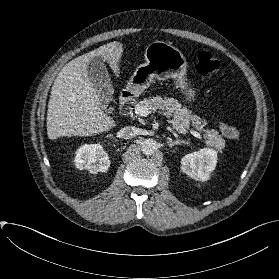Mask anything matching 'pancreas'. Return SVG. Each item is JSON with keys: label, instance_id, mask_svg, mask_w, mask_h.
<instances>
[{"label": "pancreas", "instance_id": "pancreas-1", "mask_svg": "<svg viewBox=\"0 0 279 279\" xmlns=\"http://www.w3.org/2000/svg\"><path fill=\"white\" fill-rule=\"evenodd\" d=\"M137 106L146 107L151 113L158 112L166 116L179 133H185L191 124L198 131H205L204 139L209 146H213L218 150H222L225 146V140L216 130H204L203 127L206 125V121L192 114L187 108L182 107L174 98L149 97L140 101Z\"/></svg>", "mask_w": 279, "mask_h": 279}]
</instances>
